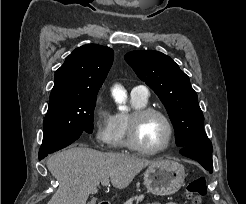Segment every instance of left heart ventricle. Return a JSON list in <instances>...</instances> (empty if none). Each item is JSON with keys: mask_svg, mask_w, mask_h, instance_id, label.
<instances>
[{"mask_svg": "<svg viewBox=\"0 0 246 204\" xmlns=\"http://www.w3.org/2000/svg\"><path fill=\"white\" fill-rule=\"evenodd\" d=\"M167 136V125L165 121L157 115H151L144 119L138 132L139 142L149 149L162 146L165 143Z\"/></svg>", "mask_w": 246, "mask_h": 204, "instance_id": "obj_1", "label": "left heart ventricle"}]
</instances>
